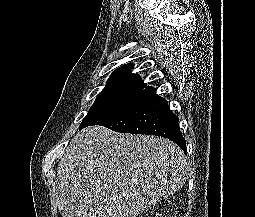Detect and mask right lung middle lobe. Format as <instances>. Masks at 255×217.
<instances>
[{"label": "right lung middle lobe", "mask_w": 255, "mask_h": 217, "mask_svg": "<svg viewBox=\"0 0 255 217\" xmlns=\"http://www.w3.org/2000/svg\"><path fill=\"white\" fill-rule=\"evenodd\" d=\"M143 90L144 88L142 87L132 86L104 88L97 96L94 104L83 119L79 129H82L99 116L136 98Z\"/></svg>", "instance_id": "right-lung-middle-lobe-1"}]
</instances>
